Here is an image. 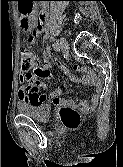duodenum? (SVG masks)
Listing matches in <instances>:
<instances>
[{"mask_svg":"<svg viewBox=\"0 0 123 167\" xmlns=\"http://www.w3.org/2000/svg\"><path fill=\"white\" fill-rule=\"evenodd\" d=\"M42 15H43V22L44 23H46V21H47V14H46V12H44V13H42Z\"/></svg>","mask_w":123,"mask_h":167,"instance_id":"1","label":"duodenum"}]
</instances>
